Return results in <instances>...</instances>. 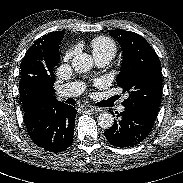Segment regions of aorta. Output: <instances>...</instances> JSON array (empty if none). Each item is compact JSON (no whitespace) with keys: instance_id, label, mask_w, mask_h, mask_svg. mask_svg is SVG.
Wrapping results in <instances>:
<instances>
[{"instance_id":"obj_1","label":"aorta","mask_w":183,"mask_h":183,"mask_svg":"<svg viewBox=\"0 0 183 183\" xmlns=\"http://www.w3.org/2000/svg\"><path fill=\"white\" fill-rule=\"evenodd\" d=\"M73 69L77 73H86L93 67V59L87 53H79L72 59ZM114 124V117L109 112L101 113L98 117V125L103 129H109Z\"/></svg>"}]
</instances>
